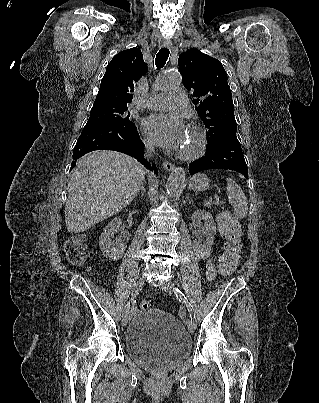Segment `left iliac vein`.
Returning a JSON list of instances; mask_svg holds the SVG:
<instances>
[{
    "label": "left iliac vein",
    "instance_id": "obj_1",
    "mask_svg": "<svg viewBox=\"0 0 319 403\" xmlns=\"http://www.w3.org/2000/svg\"><path fill=\"white\" fill-rule=\"evenodd\" d=\"M162 289L169 294L174 293V286H173L172 282H170V281H166L162 285ZM187 327H188V331L190 333H193L195 331L196 325L192 321H188Z\"/></svg>",
    "mask_w": 319,
    "mask_h": 403
}]
</instances>
